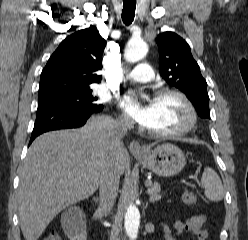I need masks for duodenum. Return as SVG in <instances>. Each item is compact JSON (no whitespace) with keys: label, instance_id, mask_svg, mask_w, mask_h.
I'll list each match as a JSON object with an SVG mask.
<instances>
[{"label":"duodenum","instance_id":"duodenum-1","mask_svg":"<svg viewBox=\"0 0 248 240\" xmlns=\"http://www.w3.org/2000/svg\"><path fill=\"white\" fill-rule=\"evenodd\" d=\"M90 240H93V234H91V236H90Z\"/></svg>","mask_w":248,"mask_h":240}]
</instances>
